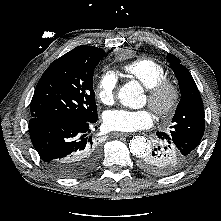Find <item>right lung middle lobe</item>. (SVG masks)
Masks as SVG:
<instances>
[{"instance_id":"obj_1","label":"right lung middle lobe","mask_w":221,"mask_h":221,"mask_svg":"<svg viewBox=\"0 0 221 221\" xmlns=\"http://www.w3.org/2000/svg\"><path fill=\"white\" fill-rule=\"evenodd\" d=\"M104 54V50L66 53L50 64L36 86L32 118L86 122L98 116L93 74Z\"/></svg>"}]
</instances>
